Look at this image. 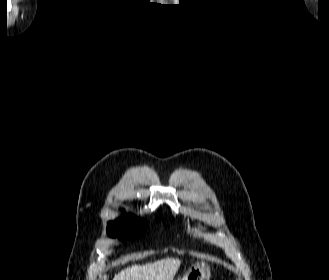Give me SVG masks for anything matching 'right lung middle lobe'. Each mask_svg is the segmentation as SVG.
<instances>
[{"instance_id": "1", "label": "right lung middle lobe", "mask_w": 329, "mask_h": 280, "mask_svg": "<svg viewBox=\"0 0 329 280\" xmlns=\"http://www.w3.org/2000/svg\"><path fill=\"white\" fill-rule=\"evenodd\" d=\"M146 227V222L139 223L132 216H126L116 222H109L107 227V233L111 237L122 236L123 233H127V238H134L140 236Z\"/></svg>"}]
</instances>
